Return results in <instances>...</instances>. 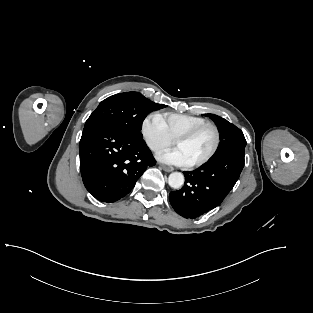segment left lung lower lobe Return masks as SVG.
Wrapping results in <instances>:
<instances>
[{
    "instance_id": "0a47b994",
    "label": "left lung lower lobe",
    "mask_w": 313,
    "mask_h": 313,
    "mask_svg": "<svg viewBox=\"0 0 313 313\" xmlns=\"http://www.w3.org/2000/svg\"><path fill=\"white\" fill-rule=\"evenodd\" d=\"M244 157V149H234L184 172L185 185L169 194L174 210L184 218L194 219L219 206L238 180Z\"/></svg>"
}]
</instances>
